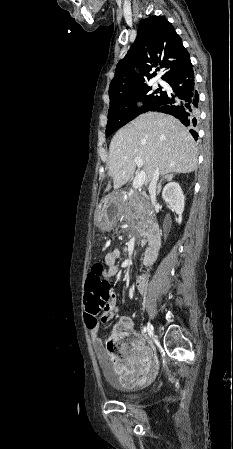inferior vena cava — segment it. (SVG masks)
<instances>
[{
    "mask_svg": "<svg viewBox=\"0 0 233 449\" xmlns=\"http://www.w3.org/2000/svg\"><path fill=\"white\" fill-rule=\"evenodd\" d=\"M159 174H160L159 170L156 169L155 172L153 173V176L150 181L149 188H148L149 194H150V199H151V202L153 205L156 204V186H157Z\"/></svg>",
    "mask_w": 233,
    "mask_h": 449,
    "instance_id": "inferior-vena-cava-1",
    "label": "inferior vena cava"
}]
</instances>
